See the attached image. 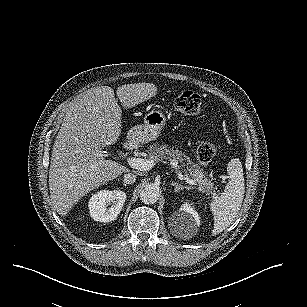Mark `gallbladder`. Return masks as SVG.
<instances>
[{"label":"gallbladder","mask_w":307,"mask_h":307,"mask_svg":"<svg viewBox=\"0 0 307 307\" xmlns=\"http://www.w3.org/2000/svg\"><path fill=\"white\" fill-rule=\"evenodd\" d=\"M103 155L104 157H111L112 156V153L108 150V149H105L103 150Z\"/></svg>","instance_id":"bac80fb5"}]
</instances>
